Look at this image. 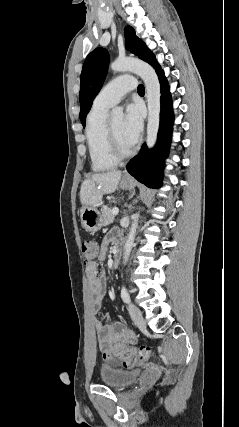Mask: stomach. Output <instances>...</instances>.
<instances>
[{
    "mask_svg": "<svg viewBox=\"0 0 239 427\" xmlns=\"http://www.w3.org/2000/svg\"><path fill=\"white\" fill-rule=\"evenodd\" d=\"M120 187L128 190L134 187V182L121 181ZM80 217L83 227L88 232H97L103 226V216L96 207L83 206L80 211Z\"/></svg>",
    "mask_w": 239,
    "mask_h": 427,
    "instance_id": "1",
    "label": "stomach"
}]
</instances>
